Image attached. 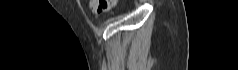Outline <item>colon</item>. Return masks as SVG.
I'll return each mask as SVG.
<instances>
[{
    "mask_svg": "<svg viewBox=\"0 0 238 70\" xmlns=\"http://www.w3.org/2000/svg\"><path fill=\"white\" fill-rule=\"evenodd\" d=\"M116 2V0H92L90 4L93 11L100 14L109 10Z\"/></svg>",
    "mask_w": 238,
    "mask_h": 70,
    "instance_id": "colon-1",
    "label": "colon"
}]
</instances>
